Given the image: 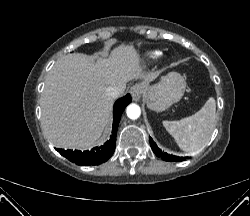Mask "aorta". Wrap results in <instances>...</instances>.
Masks as SVG:
<instances>
[{"instance_id":"aorta-1","label":"aorta","mask_w":250,"mask_h":216,"mask_svg":"<svg viewBox=\"0 0 250 216\" xmlns=\"http://www.w3.org/2000/svg\"><path fill=\"white\" fill-rule=\"evenodd\" d=\"M127 116L130 119H137L140 117L141 109L137 104H130L126 109Z\"/></svg>"}]
</instances>
